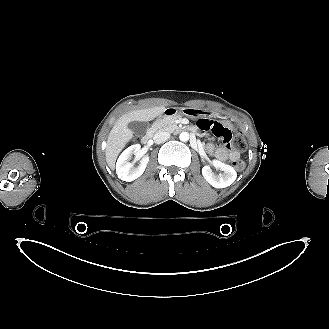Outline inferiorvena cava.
I'll return each instance as SVG.
<instances>
[{"instance_id":"1","label":"inferior vena cava","mask_w":329,"mask_h":329,"mask_svg":"<svg viewBox=\"0 0 329 329\" xmlns=\"http://www.w3.org/2000/svg\"><path fill=\"white\" fill-rule=\"evenodd\" d=\"M169 138H170L169 132L159 131L154 135L153 140L156 144H160V143H164Z\"/></svg>"}]
</instances>
